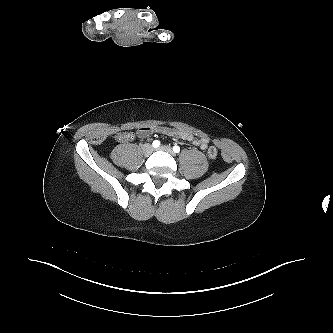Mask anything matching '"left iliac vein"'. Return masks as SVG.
Returning <instances> with one entry per match:
<instances>
[{
	"instance_id": "4c4485c4",
	"label": "left iliac vein",
	"mask_w": 333,
	"mask_h": 333,
	"mask_svg": "<svg viewBox=\"0 0 333 333\" xmlns=\"http://www.w3.org/2000/svg\"><path fill=\"white\" fill-rule=\"evenodd\" d=\"M157 150L167 152V153H169L171 155L175 154L174 151H173V149L170 146H160Z\"/></svg>"
}]
</instances>
